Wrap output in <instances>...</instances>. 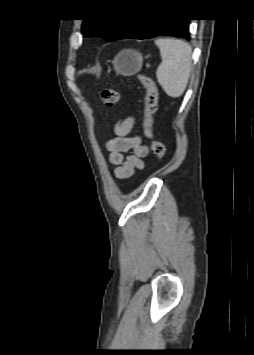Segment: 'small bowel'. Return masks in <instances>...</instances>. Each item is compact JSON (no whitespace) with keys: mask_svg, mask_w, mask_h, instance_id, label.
Here are the masks:
<instances>
[{"mask_svg":"<svg viewBox=\"0 0 254 355\" xmlns=\"http://www.w3.org/2000/svg\"><path fill=\"white\" fill-rule=\"evenodd\" d=\"M133 126V117L115 124L116 137L106 144L109 162L116 166L114 174L119 179L129 178L136 169L142 170L146 166L144 158L149 154V148L140 136L130 134Z\"/></svg>","mask_w":254,"mask_h":355,"instance_id":"c3829d8e","label":"small bowel"}]
</instances>
